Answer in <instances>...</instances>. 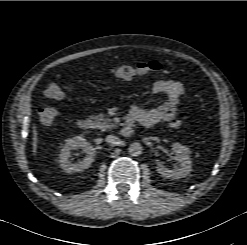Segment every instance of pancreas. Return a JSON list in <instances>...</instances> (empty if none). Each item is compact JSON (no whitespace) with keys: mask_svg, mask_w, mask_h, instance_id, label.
I'll use <instances>...</instances> for the list:
<instances>
[{"mask_svg":"<svg viewBox=\"0 0 247 245\" xmlns=\"http://www.w3.org/2000/svg\"><path fill=\"white\" fill-rule=\"evenodd\" d=\"M90 119L93 122V128L100 129L101 131L113 130L115 128L111 119H109L105 114L90 116Z\"/></svg>","mask_w":247,"mask_h":245,"instance_id":"pancreas-1","label":"pancreas"}]
</instances>
